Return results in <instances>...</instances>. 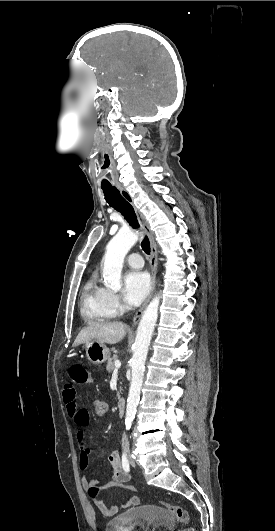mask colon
Instances as JSON below:
<instances>
[{"instance_id":"obj_1","label":"colon","mask_w":275,"mask_h":531,"mask_svg":"<svg viewBox=\"0 0 275 531\" xmlns=\"http://www.w3.org/2000/svg\"><path fill=\"white\" fill-rule=\"evenodd\" d=\"M93 404H94V411L96 415L103 416L107 412V404L105 401L101 399H95ZM111 486L124 487V490H118V491L131 490L133 494H136L138 492V489L136 487L132 488V485L119 484L115 482H112L111 484H102V489H111ZM89 495L91 497H96L98 495V490L96 488H91L89 490ZM162 506L179 523L186 525L183 531H194V529L191 526H187L190 522V516L187 510H185L184 508L180 506L170 504V503H165V502L162 503Z\"/></svg>"}]
</instances>
